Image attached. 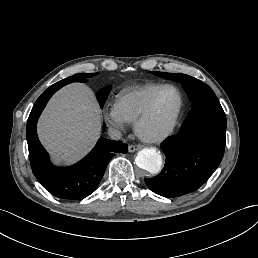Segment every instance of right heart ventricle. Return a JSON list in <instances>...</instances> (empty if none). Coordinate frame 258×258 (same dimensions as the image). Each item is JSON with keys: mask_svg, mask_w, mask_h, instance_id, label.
Here are the masks:
<instances>
[{"mask_svg": "<svg viewBox=\"0 0 258 258\" xmlns=\"http://www.w3.org/2000/svg\"><path fill=\"white\" fill-rule=\"evenodd\" d=\"M160 87L158 84H145L120 91L115 105L127 122L133 123L145 107L150 96Z\"/></svg>", "mask_w": 258, "mask_h": 258, "instance_id": "e07e8e85", "label": "right heart ventricle"}]
</instances>
